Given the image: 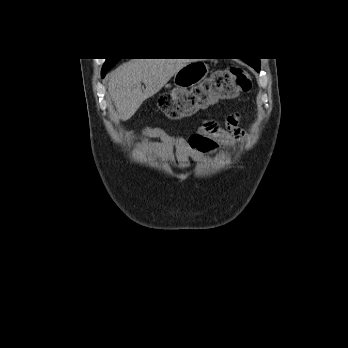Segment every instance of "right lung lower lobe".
<instances>
[{"label": "right lung lower lobe", "instance_id": "1", "mask_svg": "<svg viewBox=\"0 0 348 348\" xmlns=\"http://www.w3.org/2000/svg\"><path fill=\"white\" fill-rule=\"evenodd\" d=\"M109 69H102V71H101V75H102V77H104L105 76V74H106V72L108 71Z\"/></svg>", "mask_w": 348, "mask_h": 348}]
</instances>
